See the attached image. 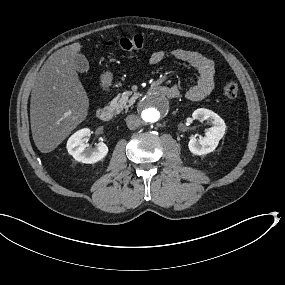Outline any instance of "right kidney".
Returning a JSON list of instances; mask_svg holds the SVG:
<instances>
[{
  "instance_id": "1",
  "label": "right kidney",
  "mask_w": 285,
  "mask_h": 285,
  "mask_svg": "<svg viewBox=\"0 0 285 285\" xmlns=\"http://www.w3.org/2000/svg\"><path fill=\"white\" fill-rule=\"evenodd\" d=\"M91 135L90 129L84 128L74 133L67 141V151L78 162L84 164H93L103 160L109 149L104 143H96L95 148H87V145L82 143V139H85Z\"/></svg>"
}]
</instances>
